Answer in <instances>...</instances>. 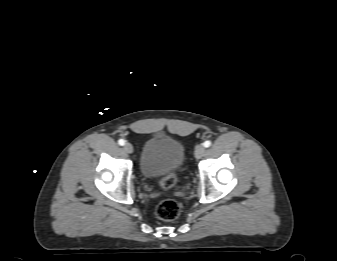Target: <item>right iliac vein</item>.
Masks as SVG:
<instances>
[{"label":"right iliac vein","instance_id":"1","mask_svg":"<svg viewBox=\"0 0 337 261\" xmlns=\"http://www.w3.org/2000/svg\"><path fill=\"white\" fill-rule=\"evenodd\" d=\"M123 149L126 153H132L133 152V146L130 143L124 144Z\"/></svg>","mask_w":337,"mask_h":261}]
</instances>
